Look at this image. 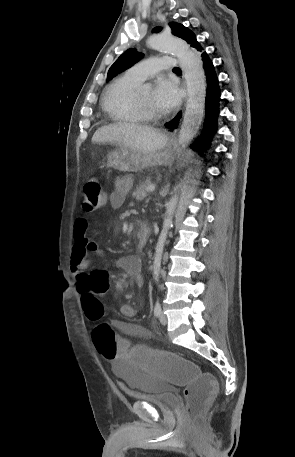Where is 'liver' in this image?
Segmentation results:
<instances>
[{
    "label": "liver",
    "mask_w": 295,
    "mask_h": 457,
    "mask_svg": "<svg viewBox=\"0 0 295 457\" xmlns=\"http://www.w3.org/2000/svg\"><path fill=\"white\" fill-rule=\"evenodd\" d=\"M92 142L110 143L139 153H149L162 149L167 143V137L152 127L119 122L100 127L94 133Z\"/></svg>",
    "instance_id": "liver-1"
}]
</instances>
